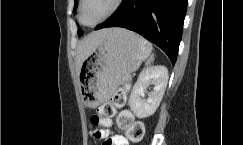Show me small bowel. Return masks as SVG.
<instances>
[{
  "label": "small bowel",
  "instance_id": "small-bowel-1",
  "mask_svg": "<svg viewBox=\"0 0 243 145\" xmlns=\"http://www.w3.org/2000/svg\"><path fill=\"white\" fill-rule=\"evenodd\" d=\"M110 134L109 130H102L98 131L95 135H93L95 138H107ZM106 141L109 142V145H129L128 139L123 135H112L110 138H108Z\"/></svg>",
  "mask_w": 243,
  "mask_h": 145
}]
</instances>
